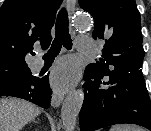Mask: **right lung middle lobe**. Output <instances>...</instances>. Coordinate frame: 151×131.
<instances>
[{"mask_svg": "<svg viewBox=\"0 0 151 131\" xmlns=\"http://www.w3.org/2000/svg\"><path fill=\"white\" fill-rule=\"evenodd\" d=\"M27 77L28 76H26V75H17L15 77H11V78L7 79L5 82H0V89H3L4 87L12 85Z\"/></svg>", "mask_w": 151, "mask_h": 131, "instance_id": "1", "label": "right lung middle lobe"}]
</instances>
